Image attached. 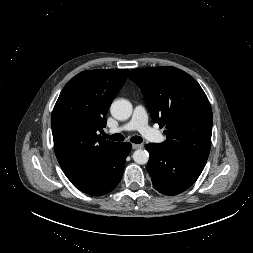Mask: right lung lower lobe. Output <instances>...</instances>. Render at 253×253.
Returning <instances> with one entry per match:
<instances>
[{"mask_svg":"<svg viewBox=\"0 0 253 253\" xmlns=\"http://www.w3.org/2000/svg\"><path fill=\"white\" fill-rule=\"evenodd\" d=\"M130 150L131 144L129 142L116 143L107 152L91 178L77 188L92 196H101L112 191L121 180L126 157Z\"/></svg>","mask_w":253,"mask_h":253,"instance_id":"obj_1","label":"right lung lower lobe"}]
</instances>
